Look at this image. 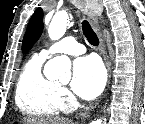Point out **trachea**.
Segmentation results:
<instances>
[{"label":"trachea","instance_id":"1","mask_svg":"<svg viewBox=\"0 0 145 124\" xmlns=\"http://www.w3.org/2000/svg\"><path fill=\"white\" fill-rule=\"evenodd\" d=\"M82 31L85 37L87 38L88 42L93 45V46H98L99 45V39L96 35V33L93 31L91 28L90 24L84 20L82 22Z\"/></svg>","mask_w":145,"mask_h":124}]
</instances>
